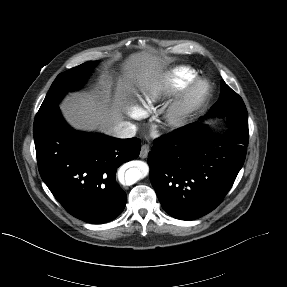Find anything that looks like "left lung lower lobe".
I'll use <instances>...</instances> for the list:
<instances>
[{
	"label": "left lung lower lobe",
	"mask_w": 287,
	"mask_h": 287,
	"mask_svg": "<svg viewBox=\"0 0 287 287\" xmlns=\"http://www.w3.org/2000/svg\"><path fill=\"white\" fill-rule=\"evenodd\" d=\"M202 119L154 141L148 154L150 180L162 208L193 220L214 210L243 166L248 125H232L223 136L210 134Z\"/></svg>",
	"instance_id": "left-lung-lower-lobe-1"
}]
</instances>
